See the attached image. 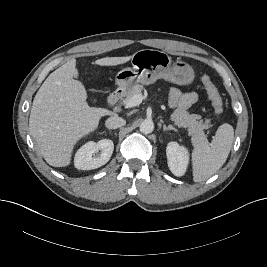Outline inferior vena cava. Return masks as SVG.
<instances>
[{
	"label": "inferior vena cava",
	"mask_w": 267,
	"mask_h": 267,
	"mask_svg": "<svg viewBox=\"0 0 267 267\" xmlns=\"http://www.w3.org/2000/svg\"><path fill=\"white\" fill-rule=\"evenodd\" d=\"M126 124V121L119 116H112L109 117L106 122H105V126L109 129H117L119 127H122Z\"/></svg>",
	"instance_id": "inferior-vena-cava-1"
}]
</instances>
